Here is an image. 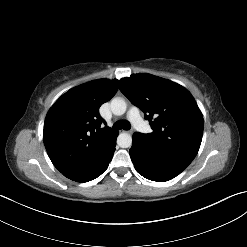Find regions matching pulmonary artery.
<instances>
[{
  "mask_svg": "<svg viewBox=\"0 0 247 247\" xmlns=\"http://www.w3.org/2000/svg\"><path fill=\"white\" fill-rule=\"evenodd\" d=\"M128 119L132 122L133 126L141 131V132H147L148 126L147 124L142 120L139 110L137 108H131L128 112Z\"/></svg>",
  "mask_w": 247,
  "mask_h": 247,
  "instance_id": "e3ab8cb5",
  "label": "pulmonary artery"
}]
</instances>
